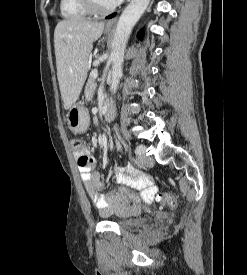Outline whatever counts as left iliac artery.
Returning a JSON list of instances; mask_svg holds the SVG:
<instances>
[{
	"label": "left iliac artery",
	"mask_w": 247,
	"mask_h": 275,
	"mask_svg": "<svg viewBox=\"0 0 247 275\" xmlns=\"http://www.w3.org/2000/svg\"><path fill=\"white\" fill-rule=\"evenodd\" d=\"M140 149H141L140 146L136 147L135 153L138 154L140 152Z\"/></svg>",
	"instance_id": "1"
}]
</instances>
